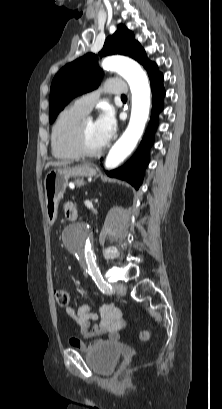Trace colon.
Returning <instances> with one entry per match:
<instances>
[{
	"label": "colon",
	"mask_w": 222,
	"mask_h": 409,
	"mask_svg": "<svg viewBox=\"0 0 222 409\" xmlns=\"http://www.w3.org/2000/svg\"><path fill=\"white\" fill-rule=\"evenodd\" d=\"M55 298L59 307L66 308L69 305L70 295L67 291L62 289H56ZM139 338L142 341L148 340L150 338V332L146 329L141 330L139 333Z\"/></svg>",
	"instance_id": "5ec220e1"
}]
</instances>
